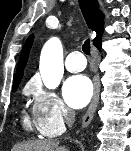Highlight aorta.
Returning <instances> with one entry per match:
<instances>
[{
  "label": "aorta",
  "instance_id": "762f6f07",
  "mask_svg": "<svg viewBox=\"0 0 131 151\" xmlns=\"http://www.w3.org/2000/svg\"><path fill=\"white\" fill-rule=\"evenodd\" d=\"M63 49L58 38H51L43 47L40 57V74L44 85L55 89L63 77Z\"/></svg>",
  "mask_w": 131,
  "mask_h": 151
}]
</instances>
